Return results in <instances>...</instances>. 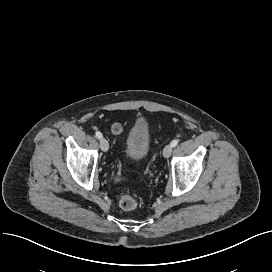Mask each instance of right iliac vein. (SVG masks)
Segmentation results:
<instances>
[{"instance_id": "right-iliac-vein-1", "label": "right iliac vein", "mask_w": 272, "mask_h": 272, "mask_svg": "<svg viewBox=\"0 0 272 272\" xmlns=\"http://www.w3.org/2000/svg\"><path fill=\"white\" fill-rule=\"evenodd\" d=\"M100 148L102 151L106 152L109 149V143L105 138L100 139Z\"/></svg>"}]
</instances>
